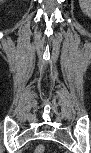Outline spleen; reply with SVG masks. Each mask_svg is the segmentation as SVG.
Listing matches in <instances>:
<instances>
[{"label":"spleen","mask_w":91,"mask_h":153,"mask_svg":"<svg viewBox=\"0 0 91 153\" xmlns=\"http://www.w3.org/2000/svg\"><path fill=\"white\" fill-rule=\"evenodd\" d=\"M81 10L87 14L90 15L91 13V1L90 0H80L79 1Z\"/></svg>","instance_id":"spleen-1"}]
</instances>
